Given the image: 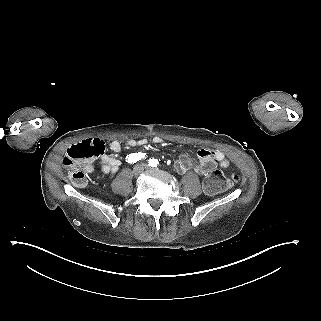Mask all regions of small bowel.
<instances>
[{
  "label": "small bowel",
  "instance_id": "obj_1",
  "mask_svg": "<svg viewBox=\"0 0 321 321\" xmlns=\"http://www.w3.org/2000/svg\"><path fill=\"white\" fill-rule=\"evenodd\" d=\"M152 142L154 144H161L163 140L159 137H155ZM105 149V144L102 141H98ZM148 144L146 139H130L127 141V145L131 148L143 147ZM108 148L114 153L121 152V144L117 140L109 142ZM217 165L221 167H226L228 161L225 155L219 150H211L209 148H201L197 152L196 158H192L187 154H183L176 161V168L180 172H186L189 170H194L199 174H207ZM121 166V161L113 156L104 154L100 155L97 164L92 161H86L83 166L84 170L87 172H92L96 167H98L103 173L113 175L115 174Z\"/></svg>",
  "mask_w": 321,
  "mask_h": 321
}]
</instances>
